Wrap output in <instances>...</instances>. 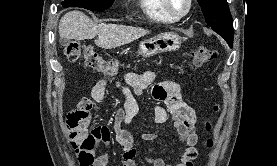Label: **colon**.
<instances>
[{"instance_id":"5ec220e1","label":"colon","mask_w":277,"mask_h":166,"mask_svg":"<svg viewBox=\"0 0 277 166\" xmlns=\"http://www.w3.org/2000/svg\"><path fill=\"white\" fill-rule=\"evenodd\" d=\"M64 53L69 62H76L81 56L84 58L85 65L107 75H114L118 70V62L116 60H107L101 57L92 47L80 44L77 41H69L64 46ZM217 58V51L206 46H200L191 52V65L193 67H201ZM215 112H219L220 108L215 107ZM85 114L76 112L73 121L68 125L70 138L75 147L79 146L88 134V128L84 122ZM207 131L213 129V122L206 123ZM213 139L207 140V146L211 148ZM87 159L80 162L83 164Z\"/></svg>"}]
</instances>
